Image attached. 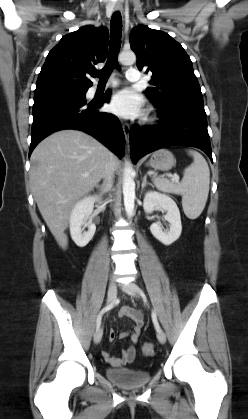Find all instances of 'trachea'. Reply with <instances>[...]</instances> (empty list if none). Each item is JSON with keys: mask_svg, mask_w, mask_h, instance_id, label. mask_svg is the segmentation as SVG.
<instances>
[{"mask_svg": "<svg viewBox=\"0 0 248 419\" xmlns=\"http://www.w3.org/2000/svg\"><path fill=\"white\" fill-rule=\"evenodd\" d=\"M122 37V18L119 12L112 15L110 23V49L108 59L102 70L94 73V77L99 78V82H106L111 75L113 68H118L117 57L121 47Z\"/></svg>", "mask_w": 248, "mask_h": 419, "instance_id": "3493384b", "label": "trachea"}]
</instances>
